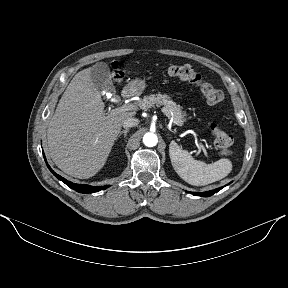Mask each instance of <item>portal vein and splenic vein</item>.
Returning a JSON list of instances; mask_svg holds the SVG:
<instances>
[{
  "label": "portal vein and splenic vein",
  "mask_w": 288,
  "mask_h": 288,
  "mask_svg": "<svg viewBox=\"0 0 288 288\" xmlns=\"http://www.w3.org/2000/svg\"><path fill=\"white\" fill-rule=\"evenodd\" d=\"M137 110V106L135 104H125V105H122L121 107H118V108H115V109H112L111 110V114L113 115H116V114H120L122 112H126V111H135ZM164 111V110H163ZM197 146H198V151H197V154H199L201 152V150H203V153L207 156V152L206 150L202 147V145L198 144L197 143Z\"/></svg>",
  "instance_id": "obj_1"
}]
</instances>
